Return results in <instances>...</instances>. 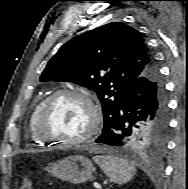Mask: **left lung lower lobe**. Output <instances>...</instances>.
<instances>
[{
    "label": "left lung lower lobe",
    "mask_w": 188,
    "mask_h": 189,
    "mask_svg": "<svg viewBox=\"0 0 188 189\" xmlns=\"http://www.w3.org/2000/svg\"><path fill=\"white\" fill-rule=\"evenodd\" d=\"M111 118L107 130L96 139V143L126 145L135 132L146 126L167 128L166 90L155 62L129 84L121 106Z\"/></svg>",
    "instance_id": "1"
}]
</instances>
